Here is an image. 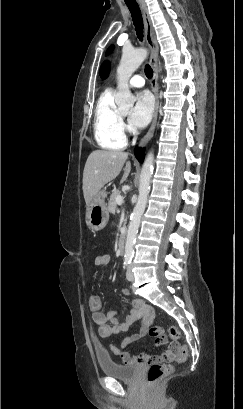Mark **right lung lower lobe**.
Instances as JSON below:
<instances>
[{
    "instance_id": "right-lung-lower-lobe-1",
    "label": "right lung lower lobe",
    "mask_w": 243,
    "mask_h": 409,
    "mask_svg": "<svg viewBox=\"0 0 243 409\" xmlns=\"http://www.w3.org/2000/svg\"><path fill=\"white\" fill-rule=\"evenodd\" d=\"M134 152H135V156L138 159V161L142 163L144 160V156H145L144 151L140 148H136Z\"/></svg>"
}]
</instances>
